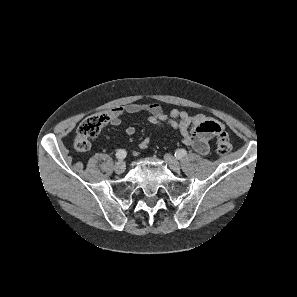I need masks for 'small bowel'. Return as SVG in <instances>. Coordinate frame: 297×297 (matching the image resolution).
Listing matches in <instances>:
<instances>
[{"mask_svg":"<svg viewBox=\"0 0 297 297\" xmlns=\"http://www.w3.org/2000/svg\"><path fill=\"white\" fill-rule=\"evenodd\" d=\"M142 112L148 114L149 122L156 127L162 128L164 125H168L179 131L183 143L201 155H206L209 152V141L222 131L220 123L209 116L204 114L191 115L178 109H172L166 113L158 104L130 103L117 107L112 111L111 123L118 126L123 115ZM135 131L133 126L125 128V133L128 136L134 135ZM150 145L151 137H146L140 142L139 147L144 150Z\"/></svg>","mask_w":297,"mask_h":297,"instance_id":"1","label":"small bowel"}]
</instances>
